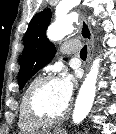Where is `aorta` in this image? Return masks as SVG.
<instances>
[{"mask_svg":"<svg viewBox=\"0 0 116 134\" xmlns=\"http://www.w3.org/2000/svg\"><path fill=\"white\" fill-rule=\"evenodd\" d=\"M76 21L75 14H69L62 18L57 19L47 31V37L51 41H58L64 36L70 34L74 29V23ZM95 24V22H93ZM100 59L97 58L91 67L90 72L87 74L77 96L75 107L73 111V122L78 124L84 120V118L90 112L96 92V82L98 76Z\"/></svg>","mask_w":116,"mask_h":134,"instance_id":"762f6f07","label":"aorta"}]
</instances>
